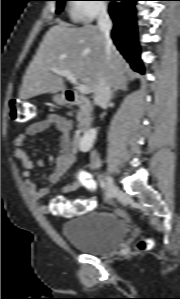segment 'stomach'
<instances>
[{"mask_svg":"<svg viewBox=\"0 0 180 299\" xmlns=\"http://www.w3.org/2000/svg\"><path fill=\"white\" fill-rule=\"evenodd\" d=\"M53 101L58 105L67 104V99L64 94H56L53 96Z\"/></svg>","mask_w":180,"mask_h":299,"instance_id":"stomach-1","label":"stomach"}]
</instances>
